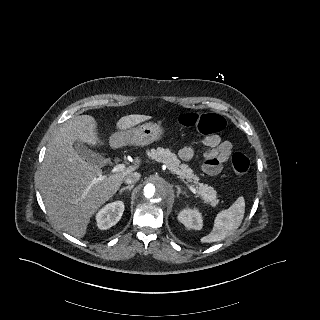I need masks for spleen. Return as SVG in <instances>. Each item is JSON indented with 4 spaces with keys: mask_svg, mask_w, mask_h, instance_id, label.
I'll return each mask as SVG.
<instances>
[{
    "mask_svg": "<svg viewBox=\"0 0 320 320\" xmlns=\"http://www.w3.org/2000/svg\"><path fill=\"white\" fill-rule=\"evenodd\" d=\"M244 213L245 200L243 196H239L228 209L222 210L216 215L212 231L202 237L201 242H217L230 236L241 225Z\"/></svg>",
    "mask_w": 320,
    "mask_h": 320,
    "instance_id": "obj_1",
    "label": "spleen"
}]
</instances>
